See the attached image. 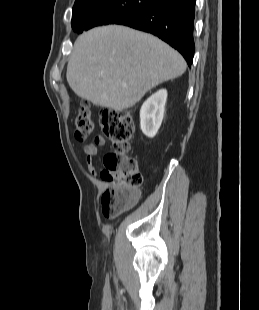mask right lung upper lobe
<instances>
[{
    "mask_svg": "<svg viewBox=\"0 0 259 310\" xmlns=\"http://www.w3.org/2000/svg\"><path fill=\"white\" fill-rule=\"evenodd\" d=\"M102 0H76L73 9L82 8L100 2Z\"/></svg>",
    "mask_w": 259,
    "mask_h": 310,
    "instance_id": "obj_1",
    "label": "right lung upper lobe"
}]
</instances>
